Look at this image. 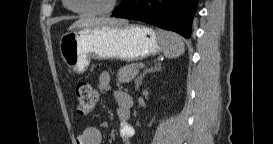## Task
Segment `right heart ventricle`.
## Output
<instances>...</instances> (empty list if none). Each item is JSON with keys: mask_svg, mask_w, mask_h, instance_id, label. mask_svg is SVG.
Returning a JSON list of instances; mask_svg holds the SVG:
<instances>
[{"mask_svg": "<svg viewBox=\"0 0 273 144\" xmlns=\"http://www.w3.org/2000/svg\"><path fill=\"white\" fill-rule=\"evenodd\" d=\"M64 5L67 6V3L65 2Z\"/></svg>", "mask_w": 273, "mask_h": 144, "instance_id": "right-heart-ventricle-1", "label": "right heart ventricle"}]
</instances>
